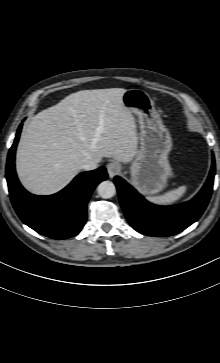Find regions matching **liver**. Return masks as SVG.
Returning a JSON list of instances; mask_svg holds the SVG:
<instances>
[{"label":"liver","mask_w":220,"mask_h":363,"mask_svg":"<svg viewBox=\"0 0 220 363\" xmlns=\"http://www.w3.org/2000/svg\"><path fill=\"white\" fill-rule=\"evenodd\" d=\"M123 88L82 90L35 115L22 132L16 171L23 186L51 195L68 185L89 160L128 163L138 152L133 114Z\"/></svg>","instance_id":"1"}]
</instances>
